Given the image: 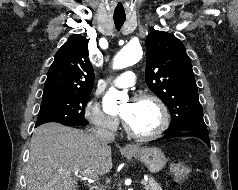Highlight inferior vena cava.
I'll return each mask as SVG.
<instances>
[{"mask_svg":"<svg viewBox=\"0 0 238 190\" xmlns=\"http://www.w3.org/2000/svg\"><path fill=\"white\" fill-rule=\"evenodd\" d=\"M92 134L101 144L104 145L114 141V133L102 127L93 129Z\"/></svg>","mask_w":238,"mask_h":190,"instance_id":"obj_1","label":"inferior vena cava"}]
</instances>
